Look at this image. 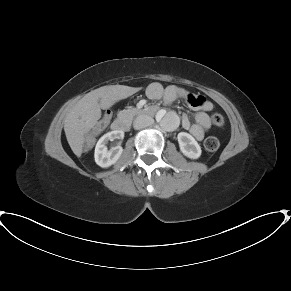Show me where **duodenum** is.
Wrapping results in <instances>:
<instances>
[{
	"label": "duodenum",
	"instance_id": "1",
	"mask_svg": "<svg viewBox=\"0 0 291 291\" xmlns=\"http://www.w3.org/2000/svg\"><path fill=\"white\" fill-rule=\"evenodd\" d=\"M158 109L155 106H147L142 109V114L147 116H155ZM128 128V121L125 117H120L116 119L112 124V129L116 133L124 132Z\"/></svg>",
	"mask_w": 291,
	"mask_h": 291
}]
</instances>
